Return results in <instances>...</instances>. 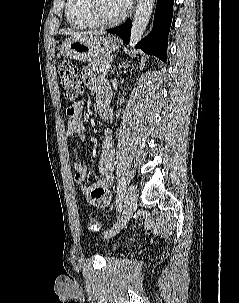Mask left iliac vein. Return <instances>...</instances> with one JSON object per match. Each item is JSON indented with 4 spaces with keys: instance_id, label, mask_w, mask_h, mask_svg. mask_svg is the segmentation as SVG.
Listing matches in <instances>:
<instances>
[{
    "instance_id": "4c4485c4",
    "label": "left iliac vein",
    "mask_w": 239,
    "mask_h": 303,
    "mask_svg": "<svg viewBox=\"0 0 239 303\" xmlns=\"http://www.w3.org/2000/svg\"><path fill=\"white\" fill-rule=\"evenodd\" d=\"M137 205V193L136 188L130 185L127 189L126 200H125V211L122 218L107 232L105 237H112L117 234L130 220L133 212L136 210Z\"/></svg>"
}]
</instances>
